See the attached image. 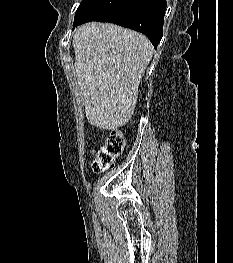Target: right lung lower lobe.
<instances>
[{
	"mask_svg": "<svg viewBox=\"0 0 233 263\" xmlns=\"http://www.w3.org/2000/svg\"><path fill=\"white\" fill-rule=\"evenodd\" d=\"M166 0H125L124 3L107 19L112 22L145 34L157 48L163 36V20ZM85 22H76L74 27Z\"/></svg>",
	"mask_w": 233,
	"mask_h": 263,
	"instance_id": "1",
	"label": "right lung lower lobe"
}]
</instances>
